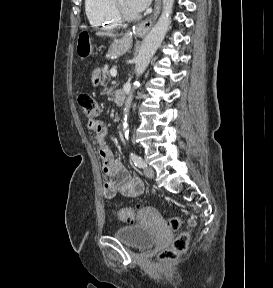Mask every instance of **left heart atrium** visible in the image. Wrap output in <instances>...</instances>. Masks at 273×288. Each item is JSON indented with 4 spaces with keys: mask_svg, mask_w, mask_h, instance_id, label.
I'll use <instances>...</instances> for the list:
<instances>
[{
    "mask_svg": "<svg viewBox=\"0 0 273 288\" xmlns=\"http://www.w3.org/2000/svg\"><path fill=\"white\" fill-rule=\"evenodd\" d=\"M151 0H128L129 6L136 13L142 12L147 8Z\"/></svg>",
    "mask_w": 273,
    "mask_h": 288,
    "instance_id": "39dd6f15",
    "label": "left heart atrium"
}]
</instances>
